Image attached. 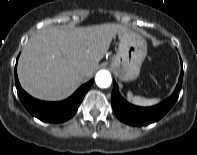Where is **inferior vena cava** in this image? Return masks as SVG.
Instances as JSON below:
<instances>
[{
    "label": "inferior vena cava",
    "mask_w": 197,
    "mask_h": 155,
    "mask_svg": "<svg viewBox=\"0 0 197 155\" xmlns=\"http://www.w3.org/2000/svg\"><path fill=\"white\" fill-rule=\"evenodd\" d=\"M85 72H86V71H85V70H83V71H82V74H85Z\"/></svg>",
    "instance_id": "inferior-vena-cava-1"
}]
</instances>
